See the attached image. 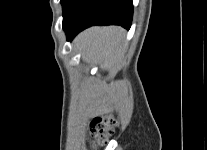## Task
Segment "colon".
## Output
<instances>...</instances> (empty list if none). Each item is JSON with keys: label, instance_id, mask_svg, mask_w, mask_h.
Wrapping results in <instances>:
<instances>
[{"label": "colon", "instance_id": "5ec220e1", "mask_svg": "<svg viewBox=\"0 0 207 150\" xmlns=\"http://www.w3.org/2000/svg\"><path fill=\"white\" fill-rule=\"evenodd\" d=\"M116 127L117 121L112 116H98L92 119L90 122V134L95 145H104Z\"/></svg>", "mask_w": 207, "mask_h": 150}]
</instances>
